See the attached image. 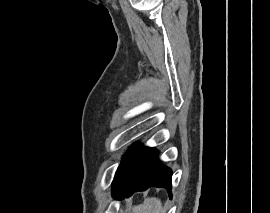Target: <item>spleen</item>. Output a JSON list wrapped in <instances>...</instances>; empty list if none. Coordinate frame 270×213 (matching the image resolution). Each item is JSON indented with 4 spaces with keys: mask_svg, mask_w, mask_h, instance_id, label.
Wrapping results in <instances>:
<instances>
[{
    "mask_svg": "<svg viewBox=\"0 0 270 213\" xmlns=\"http://www.w3.org/2000/svg\"><path fill=\"white\" fill-rule=\"evenodd\" d=\"M131 213H163L162 202L156 197L147 198L143 204L133 206Z\"/></svg>",
    "mask_w": 270,
    "mask_h": 213,
    "instance_id": "1",
    "label": "spleen"
}]
</instances>
